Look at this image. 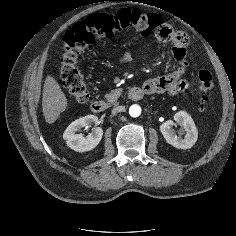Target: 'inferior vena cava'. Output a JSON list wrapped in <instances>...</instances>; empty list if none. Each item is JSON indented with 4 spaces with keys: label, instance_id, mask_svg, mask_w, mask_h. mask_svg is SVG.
<instances>
[{
    "label": "inferior vena cava",
    "instance_id": "1",
    "mask_svg": "<svg viewBox=\"0 0 236 236\" xmlns=\"http://www.w3.org/2000/svg\"><path fill=\"white\" fill-rule=\"evenodd\" d=\"M123 111H125V106H116L112 109L113 114L118 113V112H123Z\"/></svg>",
    "mask_w": 236,
    "mask_h": 236
}]
</instances>
